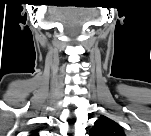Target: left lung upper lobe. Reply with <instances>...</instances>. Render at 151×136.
I'll return each instance as SVG.
<instances>
[{"label":"left lung upper lobe","instance_id":"obj_1","mask_svg":"<svg viewBox=\"0 0 151 136\" xmlns=\"http://www.w3.org/2000/svg\"><path fill=\"white\" fill-rule=\"evenodd\" d=\"M90 136H124V131L118 123L102 115L91 128Z\"/></svg>","mask_w":151,"mask_h":136}]
</instances>
